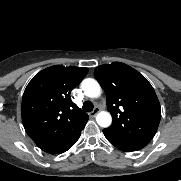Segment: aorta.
Returning <instances> with one entry per match:
<instances>
[{
    "label": "aorta",
    "mask_w": 181,
    "mask_h": 181,
    "mask_svg": "<svg viewBox=\"0 0 181 181\" xmlns=\"http://www.w3.org/2000/svg\"><path fill=\"white\" fill-rule=\"evenodd\" d=\"M86 96L91 98H97L100 96L101 88L98 82L94 79L87 78L81 83ZM96 121L101 127H108L112 122V117L109 112L101 111L96 116Z\"/></svg>",
    "instance_id": "aorta-1"
}]
</instances>
